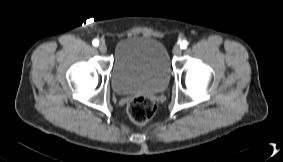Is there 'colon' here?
<instances>
[{
  "label": "colon",
  "instance_id": "1",
  "mask_svg": "<svg viewBox=\"0 0 283 162\" xmlns=\"http://www.w3.org/2000/svg\"><path fill=\"white\" fill-rule=\"evenodd\" d=\"M156 110V104L145 96L134 98L127 107L129 118L138 125H144L150 121L155 115Z\"/></svg>",
  "mask_w": 283,
  "mask_h": 162
}]
</instances>
